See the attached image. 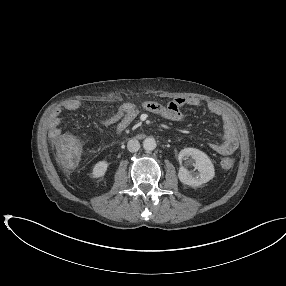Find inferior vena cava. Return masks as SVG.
Listing matches in <instances>:
<instances>
[{
	"label": "inferior vena cava",
	"mask_w": 286,
	"mask_h": 286,
	"mask_svg": "<svg viewBox=\"0 0 286 286\" xmlns=\"http://www.w3.org/2000/svg\"><path fill=\"white\" fill-rule=\"evenodd\" d=\"M127 149L130 152H137L140 149V143L136 139H131L127 143Z\"/></svg>",
	"instance_id": "inferior-vena-cava-1"
}]
</instances>
